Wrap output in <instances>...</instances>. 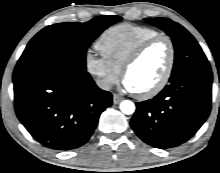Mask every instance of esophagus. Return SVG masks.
Masks as SVG:
<instances>
[{
  "label": "esophagus",
  "mask_w": 220,
  "mask_h": 173,
  "mask_svg": "<svg viewBox=\"0 0 220 173\" xmlns=\"http://www.w3.org/2000/svg\"><path fill=\"white\" fill-rule=\"evenodd\" d=\"M122 100H123V97H121L120 95H118V94L113 95V103L114 104H119Z\"/></svg>",
  "instance_id": "obj_1"
}]
</instances>
